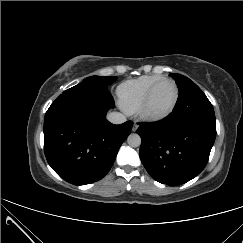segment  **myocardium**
<instances>
[{"label": "myocardium", "mask_w": 243, "mask_h": 243, "mask_svg": "<svg viewBox=\"0 0 243 243\" xmlns=\"http://www.w3.org/2000/svg\"><path fill=\"white\" fill-rule=\"evenodd\" d=\"M165 82H171L174 87H175V97H174V100L172 102V104L170 105V107L162 112V113H153L149 110V104H150V101L152 99V96L154 94V92L156 91V89L163 83ZM179 101V87L177 85V83L173 80V79H170V78H163L161 80H159L158 82H156L150 89L149 91L147 92L144 100L142 101L139 109H138V114L139 116L144 120V121H147V122H159V121H162L166 118H168L172 112L174 111V109L176 108L177 106V103Z\"/></svg>", "instance_id": "f54148a6"}]
</instances>
